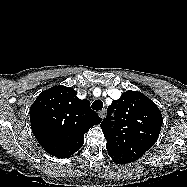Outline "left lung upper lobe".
<instances>
[{
	"mask_svg": "<svg viewBox=\"0 0 187 187\" xmlns=\"http://www.w3.org/2000/svg\"><path fill=\"white\" fill-rule=\"evenodd\" d=\"M107 111L100 126L109 154L130 163L139 159L157 141L162 115L157 105L144 94L126 91L121 98L112 101Z\"/></svg>",
	"mask_w": 187,
	"mask_h": 187,
	"instance_id": "obj_1",
	"label": "left lung upper lobe"
}]
</instances>
